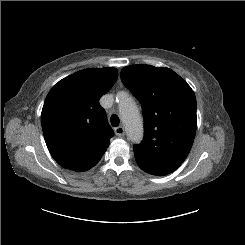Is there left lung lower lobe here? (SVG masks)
<instances>
[{"mask_svg": "<svg viewBox=\"0 0 245 245\" xmlns=\"http://www.w3.org/2000/svg\"><path fill=\"white\" fill-rule=\"evenodd\" d=\"M137 163L142 170L152 175L163 176L175 171L173 168L168 166L160 165V166L149 167L144 165L140 161L139 162L137 161Z\"/></svg>", "mask_w": 245, "mask_h": 245, "instance_id": "obj_1", "label": "left lung lower lobe"}]
</instances>
